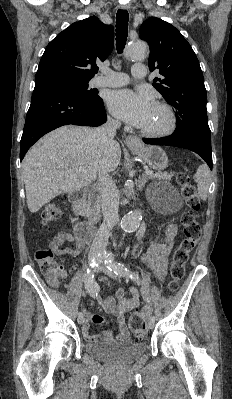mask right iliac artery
Segmentation results:
<instances>
[{
	"instance_id": "right-iliac-artery-1",
	"label": "right iliac artery",
	"mask_w": 232,
	"mask_h": 399,
	"mask_svg": "<svg viewBox=\"0 0 232 399\" xmlns=\"http://www.w3.org/2000/svg\"><path fill=\"white\" fill-rule=\"evenodd\" d=\"M102 259H103V257L101 255H97L91 259L90 265L92 267H97L102 263ZM84 285H85L86 291L89 293V295L91 297H97V295L99 293V286L94 278V275L92 273H90L89 270H87L85 280H84ZM82 316H83V313L78 312V317H82Z\"/></svg>"
}]
</instances>
